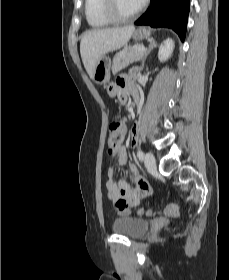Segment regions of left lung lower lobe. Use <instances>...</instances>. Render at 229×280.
Listing matches in <instances>:
<instances>
[{
  "label": "left lung lower lobe",
  "mask_w": 229,
  "mask_h": 280,
  "mask_svg": "<svg viewBox=\"0 0 229 280\" xmlns=\"http://www.w3.org/2000/svg\"><path fill=\"white\" fill-rule=\"evenodd\" d=\"M189 8L190 0H151L150 7L135 24L171 28L184 41Z\"/></svg>",
  "instance_id": "0a47b994"
}]
</instances>
